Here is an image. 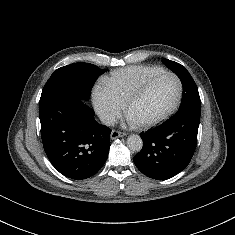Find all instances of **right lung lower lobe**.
Here are the masks:
<instances>
[{"mask_svg": "<svg viewBox=\"0 0 235 235\" xmlns=\"http://www.w3.org/2000/svg\"><path fill=\"white\" fill-rule=\"evenodd\" d=\"M41 137L52 165L64 176L86 179L104 165L111 130L94 119V111L75 97L54 98L39 106Z\"/></svg>", "mask_w": 235, "mask_h": 235, "instance_id": "98d812e1", "label": "right lung lower lobe"}]
</instances>
